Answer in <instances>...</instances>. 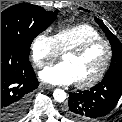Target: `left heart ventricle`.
<instances>
[{
	"label": "left heart ventricle",
	"instance_id": "b2bd125f",
	"mask_svg": "<svg viewBox=\"0 0 122 122\" xmlns=\"http://www.w3.org/2000/svg\"><path fill=\"white\" fill-rule=\"evenodd\" d=\"M106 52L103 44H97L80 56H63V62L72 69L75 82H84L98 73L104 63Z\"/></svg>",
	"mask_w": 122,
	"mask_h": 122
}]
</instances>
